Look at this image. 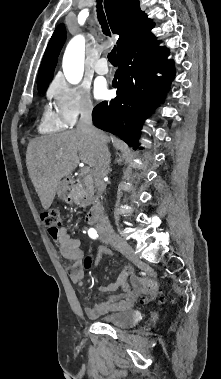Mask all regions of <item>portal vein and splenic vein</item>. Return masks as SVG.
<instances>
[{
    "instance_id": "portal-vein-and-splenic-vein-1",
    "label": "portal vein and splenic vein",
    "mask_w": 221,
    "mask_h": 379,
    "mask_svg": "<svg viewBox=\"0 0 221 379\" xmlns=\"http://www.w3.org/2000/svg\"><path fill=\"white\" fill-rule=\"evenodd\" d=\"M90 172V168L89 167H85L81 170V175H86Z\"/></svg>"
}]
</instances>
